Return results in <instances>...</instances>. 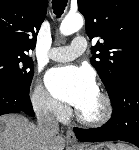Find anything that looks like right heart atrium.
Returning <instances> with one entry per match:
<instances>
[{
	"instance_id": "right-heart-atrium-1",
	"label": "right heart atrium",
	"mask_w": 139,
	"mask_h": 150,
	"mask_svg": "<svg viewBox=\"0 0 139 150\" xmlns=\"http://www.w3.org/2000/svg\"><path fill=\"white\" fill-rule=\"evenodd\" d=\"M31 102L34 110L43 117L61 118L66 113L65 106L54 99L41 84L35 86Z\"/></svg>"
}]
</instances>
